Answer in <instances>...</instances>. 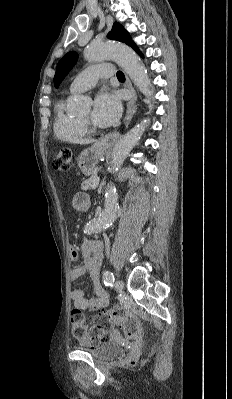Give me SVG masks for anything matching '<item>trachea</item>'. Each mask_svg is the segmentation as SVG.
Here are the masks:
<instances>
[{
	"mask_svg": "<svg viewBox=\"0 0 232 399\" xmlns=\"http://www.w3.org/2000/svg\"><path fill=\"white\" fill-rule=\"evenodd\" d=\"M117 78H118V80H125L124 73L119 70L117 72Z\"/></svg>",
	"mask_w": 232,
	"mask_h": 399,
	"instance_id": "obj_1",
	"label": "trachea"
}]
</instances>
